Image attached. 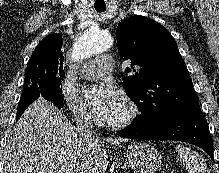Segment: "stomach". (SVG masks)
<instances>
[{
    "instance_id": "obj_1",
    "label": "stomach",
    "mask_w": 219,
    "mask_h": 173,
    "mask_svg": "<svg viewBox=\"0 0 219 173\" xmlns=\"http://www.w3.org/2000/svg\"><path fill=\"white\" fill-rule=\"evenodd\" d=\"M126 162L134 173H154L162 163L160 152L145 142H136L125 149Z\"/></svg>"
}]
</instances>
